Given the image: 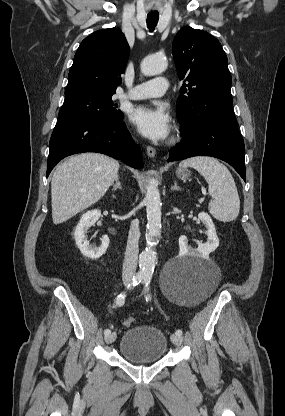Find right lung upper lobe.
<instances>
[{
  "instance_id": "obj_1",
  "label": "right lung upper lobe",
  "mask_w": 285,
  "mask_h": 416,
  "mask_svg": "<svg viewBox=\"0 0 285 416\" xmlns=\"http://www.w3.org/2000/svg\"><path fill=\"white\" fill-rule=\"evenodd\" d=\"M129 45L119 28L98 30L85 38L74 56L65 97H112L121 84Z\"/></svg>"
}]
</instances>
